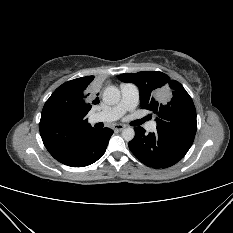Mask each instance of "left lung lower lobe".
Wrapping results in <instances>:
<instances>
[{
    "mask_svg": "<svg viewBox=\"0 0 233 233\" xmlns=\"http://www.w3.org/2000/svg\"><path fill=\"white\" fill-rule=\"evenodd\" d=\"M135 137L129 142L132 153L145 165L153 168H167L180 161L190 149L194 137L169 135L161 132L145 134L142 127H136Z\"/></svg>",
    "mask_w": 233,
    "mask_h": 233,
    "instance_id": "1",
    "label": "left lung lower lobe"
}]
</instances>
